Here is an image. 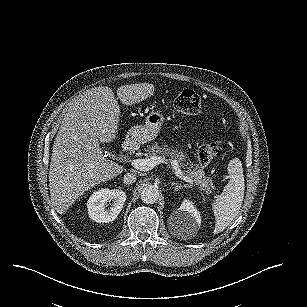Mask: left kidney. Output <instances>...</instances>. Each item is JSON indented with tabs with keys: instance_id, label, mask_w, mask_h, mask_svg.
Listing matches in <instances>:
<instances>
[{
	"instance_id": "obj_1",
	"label": "left kidney",
	"mask_w": 307,
	"mask_h": 307,
	"mask_svg": "<svg viewBox=\"0 0 307 307\" xmlns=\"http://www.w3.org/2000/svg\"><path fill=\"white\" fill-rule=\"evenodd\" d=\"M172 215L176 222H172L171 225L174 224V233L177 236L187 239L197 234L202 223V217L191 199H183L177 211Z\"/></svg>"
}]
</instances>
